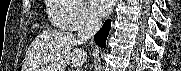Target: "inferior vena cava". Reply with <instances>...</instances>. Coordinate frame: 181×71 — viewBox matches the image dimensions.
<instances>
[{"label":"inferior vena cava","instance_id":"obj_1","mask_svg":"<svg viewBox=\"0 0 181 71\" xmlns=\"http://www.w3.org/2000/svg\"><path fill=\"white\" fill-rule=\"evenodd\" d=\"M102 22L91 15L86 16L78 28L77 41L80 44L86 43L101 28Z\"/></svg>","mask_w":181,"mask_h":71}]
</instances>
